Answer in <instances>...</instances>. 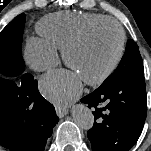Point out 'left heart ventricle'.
<instances>
[{"label": "left heart ventricle", "mask_w": 151, "mask_h": 151, "mask_svg": "<svg viewBox=\"0 0 151 151\" xmlns=\"http://www.w3.org/2000/svg\"><path fill=\"white\" fill-rule=\"evenodd\" d=\"M118 40L119 35L114 25L99 26L70 52V68L84 81L98 76L114 60Z\"/></svg>", "instance_id": "obj_1"}]
</instances>
